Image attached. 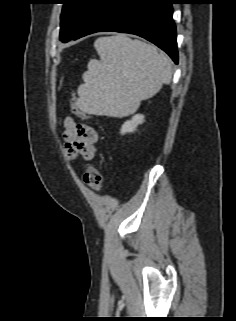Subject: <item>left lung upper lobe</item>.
Instances as JSON below:
<instances>
[{
  "label": "left lung upper lobe",
  "mask_w": 236,
  "mask_h": 321,
  "mask_svg": "<svg viewBox=\"0 0 236 321\" xmlns=\"http://www.w3.org/2000/svg\"><path fill=\"white\" fill-rule=\"evenodd\" d=\"M100 0H63L60 40H71L81 29Z\"/></svg>",
  "instance_id": "5c2ea615"
}]
</instances>
